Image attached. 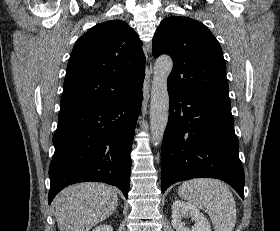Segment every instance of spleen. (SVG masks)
Listing matches in <instances>:
<instances>
[{
    "label": "spleen",
    "mask_w": 280,
    "mask_h": 231,
    "mask_svg": "<svg viewBox=\"0 0 280 231\" xmlns=\"http://www.w3.org/2000/svg\"><path fill=\"white\" fill-rule=\"evenodd\" d=\"M178 195L207 211L215 231H233L236 223V203L223 181L207 177L189 179L180 185Z\"/></svg>",
    "instance_id": "spleen-1"
}]
</instances>
